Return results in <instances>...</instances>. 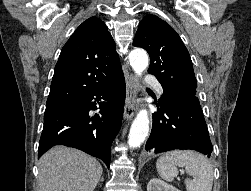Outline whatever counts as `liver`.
Segmentation results:
<instances>
[{
  "instance_id": "6515ba94",
  "label": "liver",
  "mask_w": 251,
  "mask_h": 191,
  "mask_svg": "<svg viewBox=\"0 0 251 191\" xmlns=\"http://www.w3.org/2000/svg\"><path fill=\"white\" fill-rule=\"evenodd\" d=\"M102 171L95 157L55 145L39 159L38 181L41 191H93Z\"/></svg>"
}]
</instances>
